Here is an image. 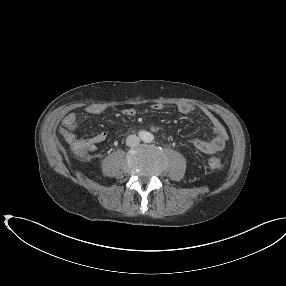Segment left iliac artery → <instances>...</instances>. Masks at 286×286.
Wrapping results in <instances>:
<instances>
[{
    "instance_id": "44dca946",
    "label": "left iliac artery",
    "mask_w": 286,
    "mask_h": 286,
    "mask_svg": "<svg viewBox=\"0 0 286 286\" xmlns=\"http://www.w3.org/2000/svg\"><path fill=\"white\" fill-rule=\"evenodd\" d=\"M146 140L147 142H152L154 140V136L152 134H148Z\"/></svg>"
}]
</instances>
